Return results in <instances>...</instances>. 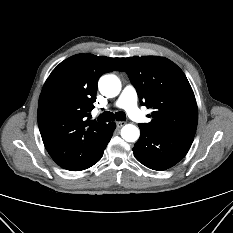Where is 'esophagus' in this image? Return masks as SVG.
Listing matches in <instances>:
<instances>
[{
	"label": "esophagus",
	"instance_id": "obj_1",
	"mask_svg": "<svg viewBox=\"0 0 233 233\" xmlns=\"http://www.w3.org/2000/svg\"><path fill=\"white\" fill-rule=\"evenodd\" d=\"M126 124V122H123V121H118L116 122V125L118 128H121L122 126H124Z\"/></svg>",
	"mask_w": 233,
	"mask_h": 233
}]
</instances>
